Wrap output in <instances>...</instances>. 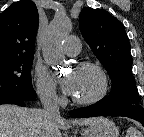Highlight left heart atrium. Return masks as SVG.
I'll return each mask as SVG.
<instances>
[{"label":"left heart atrium","mask_w":144,"mask_h":137,"mask_svg":"<svg viewBox=\"0 0 144 137\" xmlns=\"http://www.w3.org/2000/svg\"><path fill=\"white\" fill-rule=\"evenodd\" d=\"M64 92L68 95H73L76 89V75L72 71L61 82Z\"/></svg>","instance_id":"left-heart-atrium-1"}]
</instances>
